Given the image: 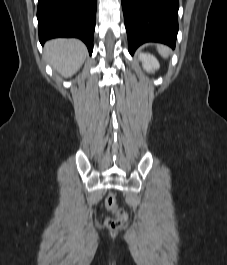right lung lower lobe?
<instances>
[{"instance_id":"98d812e1","label":"right lung lower lobe","mask_w":227,"mask_h":265,"mask_svg":"<svg viewBox=\"0 0 227 265\" xmlns=\"http://www.w3.org/2000/svg\"><path fill=\"white\" fill-rule=\"evenodd\" d=\"M97 0H38L39 40L81 39L92 54Z\"/></svg>"}]
</instances>
